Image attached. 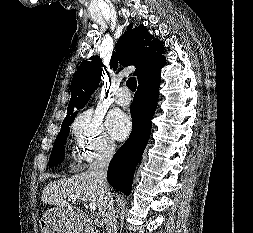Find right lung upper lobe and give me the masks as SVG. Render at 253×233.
Masks as SVG:
<instances>
[{"label":"right lung upper lobe","instance_id":"cb5924a9","mask_svg":"<svg viewBox=\"0 0 253 233\" xmlns=\"http://www.w3.org/2000/svg\"><path fill=\"white\" fill-rule=\"evenodd\" d=\"M115 48L116 52H113L110 60L111 68L116 69L118 61L123 66L134 65V75L139 83L165 65L163 44L154 38L144 25L133 28V24H130ZM103 68L105 69L98 56H91L81 63L71 82V99L66 118L77 115L76 111L88 102L99 85Z\"/></svg>","mask_w":253,"mask_h":233}]
</instances>
